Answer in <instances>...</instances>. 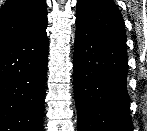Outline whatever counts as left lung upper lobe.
<instances>
[{
    "instance_id": "obj_1",
    "label": "left lung upper lobe",
    "mask_w": 147,
    "mask_h": 131,
    "mask_svg": "<svg viewBox=\"0 0 147 131\" xmlns=\"http://www.w3.org/2000/svg\"><path fill=\"white\" fill-rule=\"evenodd\" d=\"M76 20L106 36L126 43L122 15L113 0H78Z\"/></svg>"
}]
</instances>
